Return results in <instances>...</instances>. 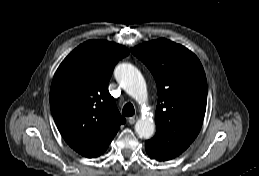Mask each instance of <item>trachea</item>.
Wrapping results in <instances>:
<instances>
[{
	"label": "trachea",
	"mask_w": 259,
	"mask_h": 176,
	"mask_svg": "<svg viewBox=\"0 0 259 176\" xmlns=\"http://www.w3.org/2000/svg\"><path fill=\"white\" fill-rule=\"evenodd\" d=\"M135 113L134 111V107L131 103H127L124 105L123 110H122V114L126 117H130L133 116Z\"/></svg>",
	"instance_id": "1"
}]
</instances>
